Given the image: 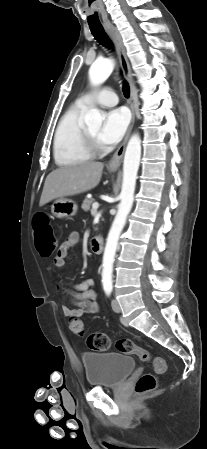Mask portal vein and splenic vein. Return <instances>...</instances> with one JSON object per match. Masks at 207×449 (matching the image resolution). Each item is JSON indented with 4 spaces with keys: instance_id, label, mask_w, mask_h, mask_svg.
<instances>
[{
    "instance_id": "1",
    "label": "portal vein and splenic vein",
    "mask_w": 207,
    "mask_h": 449,
    "mask_svg": "<svg viewBox=\"0 0 207 449\" xmlns=\"http://www.w3.org/2000/svg\"><path fill=\"white\" fill-rule=\"evenodd\" d=\"M98 207H99V204L97 202H94L92 204V211H96L98 209Z\"/></svg>"
}]
</instances>
